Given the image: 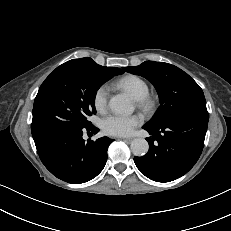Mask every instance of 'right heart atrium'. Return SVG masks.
<instances>
[{"instance_id": "obj_1", "label": "right heart atrium", "mask_w": 231, "mask_h": 231, "mask_svg": "<svg viewBox=\"0 0 231 231\" xmlns=\"http://www.w3.org/2000/svg\"><path fill=\"white\" fill-rule=\"evenodd\" d=\"M109 89L106 85L98 87L93 96V104L98 112H104L107 108Z\"/></svg>"}]
</instances>
